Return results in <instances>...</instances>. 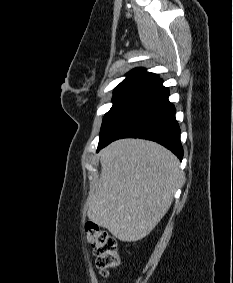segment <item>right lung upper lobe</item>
Masks as SVG:
<instances>
[{
	"label": "right lung upper lobe",
	"mask_w": 233,
	"mask_h": 283,
	"mask_svg": "<svg viewBox=\"0 0 233 283\" xmlns=\"http://www.w3.org/2000/svg\"><path fill=\"white\" fill-rule=\"evenodd\" d=\"M126 76L127 77L120 84L135 81H146L153 83L155 80L158 79V76L155 73L147 72L144 68H135L134 70L130 71Z\"/></svg>",
	"instance_id": "1"
}]
</instances>
